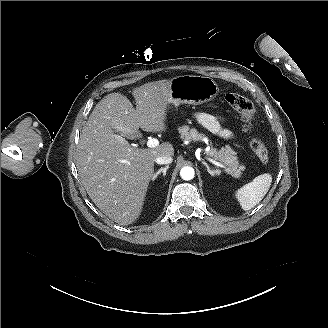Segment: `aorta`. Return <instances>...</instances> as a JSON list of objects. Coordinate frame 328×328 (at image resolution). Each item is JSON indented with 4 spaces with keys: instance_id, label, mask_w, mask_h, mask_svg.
<instances>
[{
    "instance_id": "obj_1",
    "label": "aorta",
    "mask_w": 328,
    "mask_h": 328,
    "mask_svg": "<svg viewBox=\"0 0 328 328\" xmlns=\"http://www.w3.org/2000/svg\"><path fill=\"white\" fill-rule=\"evenodd\" d=\"M194 169L192 167H183L180 171V176L183 180H191L194 178Z\"/></svg>"
}]
</instances>
